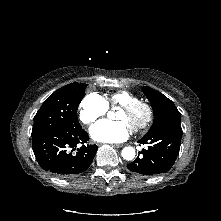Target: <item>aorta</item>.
<instances>
[{
    "instance_id": "1",
    "label": "aorta",
    "mask_w": 221,
    "mask_h": 221,
    "mask_svg": "<svg viewBox=\"0 0 221 221\" xmlns=\"http://www.w3.org/2000/svg\"><path fill=\"white\" fill-rule=\"evenodd\" d=\"M123 159L129 161L135 157V149L133 147H124L121 153Z\"/></svg>"
}]
</instances>
